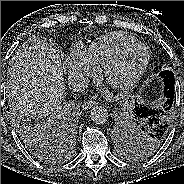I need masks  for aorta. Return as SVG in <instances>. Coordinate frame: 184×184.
I'll return each mask as SVG.
<instances>
[{"label":"aorta","instance_id":"aorta-1","mask_svg":"<svg viewBox=\"0 0 184 184\" xmlns=\"http://www.w3.org/2000/svg\"><path fill=\"white\" fill-rule=\"evenodd\" d=\"M109 117L108 111L106 108L102 106H94L90 110V118L93 121V123L102 125L107 122Z\"/></svg>","mask_w":184,"mask_h":184}]
</instances>
